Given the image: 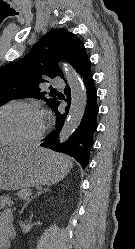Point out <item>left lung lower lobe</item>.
Returning <instances> with one entry per match:
<instances>
[{
	"label": "left lung lower lobe",
	"mask_w": 135,
	"mask_h": 249,
	"mask_svg": "<svg viewBox=\"0 0 135 249\" xmlns=\"http://www.w3.org/2000/svg\"><path fill=\"white\" fill-rule=\"evenodd\" d=\"M80 76L86 90V105L80 125L65 143L59 144L57 142L59 132L66 119V113H60L58 111V105L60 102L57 101L53 107V110L57 116L56 129L44 139L41 146L65 153L75 158L82 165V167H86L89 163V153L93 146V136L97 129V115L99 111L97 104V91L91 71V62L86 65ZM64 93L66 94L65 101L68 102V105H70L71 97L68 85H66ZM68 108L69 106L66 107L67 111L69 110Z\"/></svg>",
	"instance_id": "0a47b994"
}]
</instances>
